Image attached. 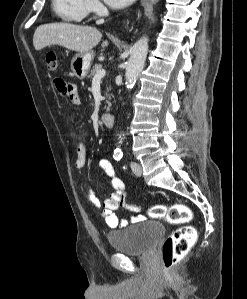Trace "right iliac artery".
<instances>
[{
	"label": "right iliac artery",
	"mask_w": 247,
	"mask_h": 299,
	"mask_svg": "<svg viewBox=\"0 0 247 299\" xmlns=\"http://www.w3.org/2000/svg\"><path fill=\"white\" fill-rule=\"evenodd\" d=\"M123 154L122 153H117L113 157L115 160H120L122 158Z\"/></svg>",
	"instance_id": "82829eb1"
}]
</instances>
